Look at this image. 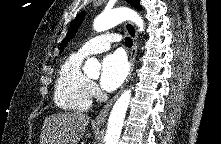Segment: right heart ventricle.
<instances>
[{
    "label": "right heart ventricle",
    "mask_w": 221,
    "mask_h": 144,
    "mask_svg": "<svg viewBox=\"0 0 221 144\" xmlns=\"http://www.w3.org/2000/svg\"><path fill=\"white\" fill-rule=\"evenodd\" d=\"M84 57L71 54L61 65L54 90L56 105L66 111H84L91 105L89 79L82 72Z\"/></svg>",
    "instance_id": "right-heart-ventricle-1"
}]
</instances>
